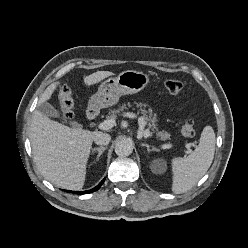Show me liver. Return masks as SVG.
<instances>
[{"instance_id":"6515ba94","label":"liver","mask_w":248,"mask_h":248,"mask_svg":"<svg viewBox=\"0 0 248 248\" xmlns=\"http://www.w3.org/2000/svg\"><path fill=\"white\" fill-rule=\"evenodd\" d=\"M112 75L114 73L109 71H97L86 76L84 83L91 86ZM59 84L55 82L46 88L37 107L51 98ZM97 133L70 128L49 119L36 109L32 116L29 137L38 171L57 187L82 189L92 142Z\"/></svg>"}]
</instances>
